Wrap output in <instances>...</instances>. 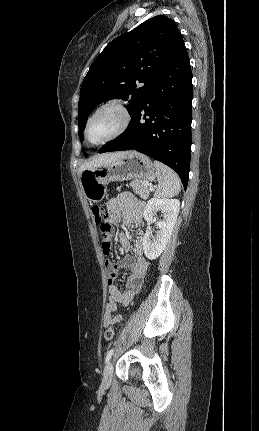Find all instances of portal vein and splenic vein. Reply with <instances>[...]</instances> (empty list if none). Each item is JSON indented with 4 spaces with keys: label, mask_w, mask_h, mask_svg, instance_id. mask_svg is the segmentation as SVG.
Instances as JSON below:
<instances>
[{
    "label": "portal vein and splenic vein",
    "mask_w": 259,
    "mask_h": 431,
    "mask_svg": "<svg viewBox=\"0 0 259 431\" xmlns=\"http://www.w3.org/2000/svg\"><path fill=\"white\" fill-rule=\"evenodd\" d=\"M145 183H146L147 185H149V184H148V182H145ZM149 186L151 187V185H149Z\"/></svg>",
    "instance_id": "obj_1"
}]
</instances>
